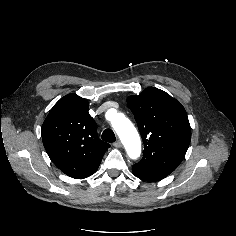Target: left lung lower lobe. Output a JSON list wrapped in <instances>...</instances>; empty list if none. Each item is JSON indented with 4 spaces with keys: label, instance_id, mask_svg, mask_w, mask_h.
Returning <instances> with one entry per match:
<instances>
[{
    "label": "left lung lower lobe",
    "instance_id": "obj_1",
    "mask_svg": "<svg viewBox=\"0 0 236 236\" xmlns=\"http://www.w3.org/2000/svg\"><path fill=\"white\" fill-rule=\"evenodd\" d=\"M132 171L136 177H138L139 179L144 180V181L155 182V181L163 179V177L154 175V174L148 172L146 169H144L136 164L132 167Z\"/></svg>",
    "mask_w": 236,
    "mask_h": 236
}]
</instances>
